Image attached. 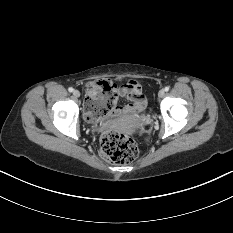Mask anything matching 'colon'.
<instances>
[{
	"label": "colon",
	"mask_w": 233,
	"mask_h": 233,
	"mask_svg": "<svg viewBox=\"0 0 233 233\" xmlns=\"http://www.w3.org/2000/svg\"><path fill=\"white\" fill-rule=\"evenodd\" d=\"M117 106L116 85L109 80L93 81L88 86L85 104L87 119L96 121L111 114ZM101 155L114 164H127L138 155L135 141L117 131H106L100 138Z\"/></svg>",
	"instance_id": "5ec220e1"
}]
</instances>
